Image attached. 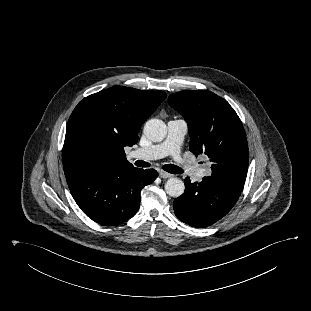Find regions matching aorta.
Listing matches in <instances>:
<instances>
[{"label":"aorta","mask_w":311,"mask_h":311,"mask_svg":"<svg viewBox=\"0 0 311 311\" xmlns=\"http://www.w3.org/2000/svg\"><path fill=\"white\" fill-rule=\"evenodd\" d=\"M143 132L149 140L160 142L167 134L166 124L160 119H150L145 123ZM184 190V182L179 178H170L165 183V191L171 197L181 196Z\"/></svg>","instance_id":"aorta-1"}]
</instances>
